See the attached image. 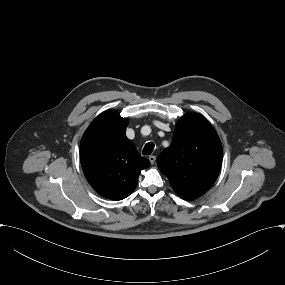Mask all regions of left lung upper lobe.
I'll list each match as a JSON object with an SVG mask.
<instances>
[{"label":"left lung upper lobe","instance_id":"left-lung-upper-lobe-1","mask_svg":"<svg viewBox=\"0 0 285 285\" xmlns=\"http://www.w3.org/2000/svg\"><path fill=\"white\" fill-rule=\"evenodd\" d=\"M221 163L222 145L216 131L195 113L177 122L171 145L157 158L160 171L184 200L203 195L217 179Z\"/></svg>","mask_w":285,"mask_h":285}]
</instances>
